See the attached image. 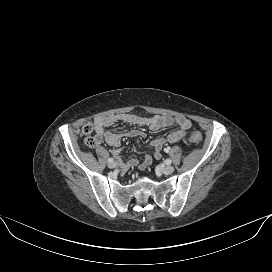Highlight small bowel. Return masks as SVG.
Listing matches in <instances>:
<instances>
[{
    "label": "small bowel",
    "mask_w": 272,
    "mask_h": 272,
    "mask_svg": "<svg viewBox=\"0 0 272 272\" xmlns=\"http://www.w3.org/2000/svg\"><path fill=\"white\" fill-rule=\"evenodd\" d=\"M116 122L146 126L151 131H157L163 127L178 125V130L165 137H159L152 142V148L154 150L153 157L151 155H145L144 160L141 163L136 159H131L128 161V167L137 166L142 170L151 165L153 158L159 159L161 157V151L165 144L176 143L182 140L191 128V122L185 116L154 115L152 117H144L134 114H115L95 119L94 126L96 145H99L105 141L112 147H119L123 137L145 136V133L139 129H131L124 133H113L105 130L107 127L112 126ZM114 155L117 156L118 151H114Z\"/></svg>",
    "instance_id": "1"
}]
</instances>
